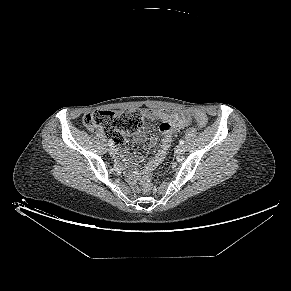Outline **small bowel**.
I'll return each mask as SVG.
<instances>
[{
    "label": "small bowel",
    "instance_id": "1",
    "mask_svg": "<svg viewBox=\"0 0 291 291\" xmlns=\"http://www.w3.org/2000/svg\"><path fill=\"white\" fill-rule=\"evenodd\" d=\"M148 116L152 119H157L160 121L159 130L162 134L160 148L156 152L154 158L146 166V168L151 167L152 169H155L157 165L164 159L165 154L172 142V132L176 129H180L186 126L187 119L179 112L168 110H152L149 112ZM135 138L138 142H143L146 139V135L143 130H140L136 133ZM150 144L152 146L157 145L158 138H151ZM133 176L137 178L138 173L134 172Z\"/></svg>",
    "mask_w": 291,
    "mask_h": 291
}]
</instances>
